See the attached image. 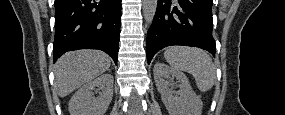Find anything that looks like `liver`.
I'll list each match as a JSON object with an SVG mask.
<instances>
[{
    "mask_svg": "<svg viewBox=\"0 0 285 115\" xmlns=\"http://www.w3.org/2000/svg\"><path fill=\"white\" fill-rule=\"evenodd\" d=\"M110 57L98 50H76L64 54L55 64V88L65 97L110 67Z\"/></svg>",
    "mask_w": 285,
    "mask_h": 115,
    "instance_id": "liver-1",
    "label": "liver"
}]
</instances>
